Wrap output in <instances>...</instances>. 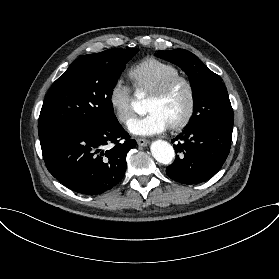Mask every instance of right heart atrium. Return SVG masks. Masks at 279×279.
Returning a JSON list of instances; mask_svg holds the SVG:
<instances>
[{"mask_svg": "<svg viewBox=\"0 0 279 279\" xmlns=\"http://www.w3.org/2000/svg\"><path fill=\"white\" fill-rule=\"evenodd\" d=\"M107 100L116 121L127 123L133 115L131 87L121 79L116 80L108 92Z\"/></svg>", "mask_w": 279, "mask_h": 279, "instance_id": "obj_1", "label": "right heart atrium"}]
</instances>
